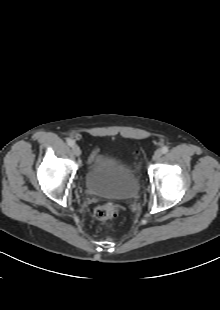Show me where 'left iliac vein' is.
Wrapping results in <instances>:
<instances>
[{"label":"left iliac vein","mask_w":220,"mask_h":310,"mask_svg":"<svg viewBox=\"0 0 220 310\" xmlns=\"http://www.w3.org/2000/svg\"><path fill=\"white\" fill-rule=\"evenodd\" d=\"M161 156H162V152L160 150L155 151L153 155V161L155 162L159 161Z\"/></svg>","instance_id":"left-iliac-vein-1"}]
</instances>
